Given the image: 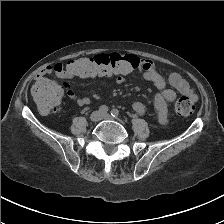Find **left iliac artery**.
<instances>
[{
    "instance_id": "left-iliac-artery-1",
    "label": "left iliac artery",
    "mask_w": 224,
    "mask_h": 224,
    "mask_svg": "<svg viewBox=\"0 0 224 224\" xmlns=\"http://www.w3.org/2000/svg\"><path fill=\"white\" fill-rule=\"evenodd\" d=\"M111 115H112L113 117H117V116L119 115V111H118L117 109H112V110H111Z\"/></svg>"
}]
</instances>
